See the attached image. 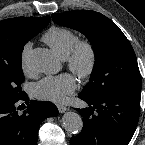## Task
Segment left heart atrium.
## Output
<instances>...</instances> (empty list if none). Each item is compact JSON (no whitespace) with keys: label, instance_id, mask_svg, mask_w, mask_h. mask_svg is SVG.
Returning <instances> with one entry per match:
<instances>
[{"label":"left heart atrium","instance_id":"obj_1","mask_svg":"<svg viewBox=\"0 0 145 145\" xmlns=\"http://www.w3.org/2000/svg\"><path fill=\"white\" fill-rule=\"evenodd\" d=\"M76 86L75 78L64 73L43 78L33 86V94L38 99L60 103L75 91Z\"/></svg>","mask_w":145,"mask_h":145}]
</instances>
